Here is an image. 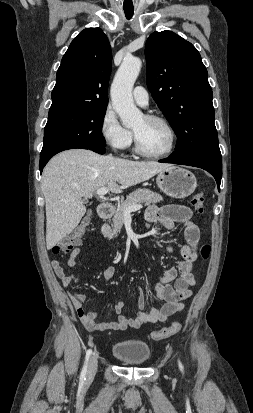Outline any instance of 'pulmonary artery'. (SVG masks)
I'll use <instances>...</instances> for the list:
<instances>
[{"mask_svg":"<svg viewBox=\"0 0 253 413\" xmlns=\"http://www.w3.org/2000/svg\"><path fill=\"white\" fill-rule=\"evenodd\" d=\"M133 98L135 102L142 107H146L148 105L149 95L146 89L142 86H137L134 88Z\"/></svg>","mask_w":253,"mask_h":413,"instance_id":"e3ab8cb5","label":"pulmonary artery"}]
</instances>
